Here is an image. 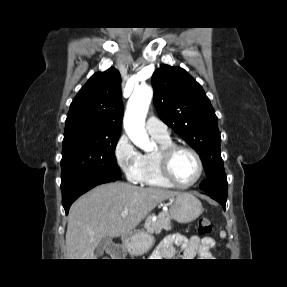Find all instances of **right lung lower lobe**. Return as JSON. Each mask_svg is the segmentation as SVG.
<instances>
[{
  "mask_svg": "<svg viewBox=\"0 0 287 287\" xmlns=\"http://www.w3.org/2000/svg\"><path fill=\"white\" fill-rule=\"evenodd\" d=\"M118 179L119 178H112L104 175H83L61 184L62 204L66 214L68 213L71 204L79 196L99 184L113 182Z\"/></svg>",
  "mask_w": 287,
  "mask_h": 287,
  "instance_id": "obj_1",
  "label": "right lung lower lobe"
}]
</instances>
